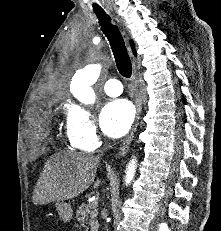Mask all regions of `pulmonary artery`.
<instances>
[{"mask_svg":"<svg viewBox=\"0 0 221 231\" xmlns=\"http://www.w3.org/2000/svg\"><path fill=\"white\" fill-rule=\"evenodd\" d=\"M104 91L111 97H117L123 91L122 84L116 79H110L104 84Z\"/></svg>","mask_w":221,"mask_h":231,"instance_id":"e3ab8cb5","label":"pulmonary artery"}]
</instances>
